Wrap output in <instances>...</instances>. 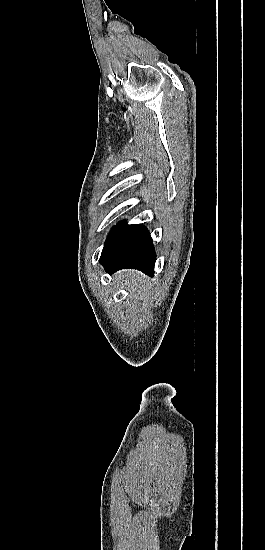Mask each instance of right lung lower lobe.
<instances>
[{
	"label": "right lung lower lobe",
	"instance_id": "98d812e1",
	"mask_svg": "<svg viewBox=\"0 0 265 550\" xmlns=\"http://www.w3.org/2000/svg\"><path fill=\"white\" fill-rule=\"evenodd\" d=\"M100 260L108 272L134 268L153 276L156 255L148 229L142 224L136 225L114 250L103 253Z\"/></svg>",
	"mask_w": 265,
	"mask_h": 550
}]
</instances>
